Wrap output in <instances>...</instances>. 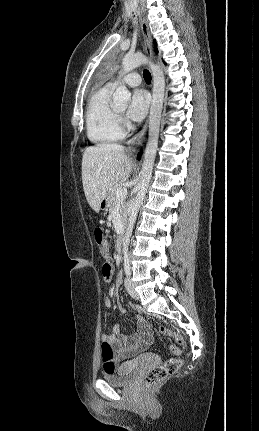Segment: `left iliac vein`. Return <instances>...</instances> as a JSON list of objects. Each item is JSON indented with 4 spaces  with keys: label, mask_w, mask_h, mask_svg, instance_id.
<instances>
[{
    "label": "left iliac vein",
    "mask_w": 259,
    "mask_h": 431,
    "mask_svg": "<svg viewBox=\"0 0 259 431\" xmlns=\"http://www.w3.org/2000/svg\"><path fill=\"white\" fill-rule=\"evenodd\" d=\"M125 287L129 293V295L133 298L138 300L139 299V294L136 292V290L134 289V286L132 284V281L130 279V277H127L125 279Z\"/></svg>",
    "instance_id": "obj_1"
}]
</instances>
